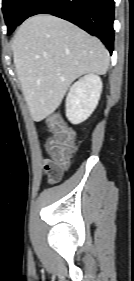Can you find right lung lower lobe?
Returning a JSON list of instances; mask_svg holds the SVG:
<instances>
[{
	"mask_svg": "<svg viewBox=\"0 0 134 281\" xmlns=\"http://www.w3.org/2000/svg\"><path fill=\"white\" fill-rule=\"evenodd\" d=\"M52 14L95 35L113 51L114 0H30L21 23L36 14Z\"/></svg>",
	"mask_w": 134,
	"mask_h": 281,
	"instance_id": "1",
	"label": "right lung lower lobe"
}]
</instances>
